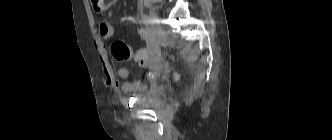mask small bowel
<instances>
[{
  "mask_svg": "<svg viewBox=\"0 0 332 140\" xmlns=\"http://www.w3.org/2000/svg\"><path fill=\"white\" fill-rule=\"evenodd\" d=\"M117 1V0H113ZM111 12V8L108 9V13ZM113 36L104 37L105 39H111ZM159 46L156 40L152 38L147 39V48L137 51V59L142 66H146L149 62L155 58L158 54ZM103 70L106 78V82L114 89L120 88L125 94L137 93L146 89V84L139 80L126 81L120 84L118 78L115 76L110 64L106 59H103ZM117 75L121 79H126L129 76V71L125 67L119 68ZM150 78H153V74H149Z\"/></svg>",
  "mask_w": 332,
  "mask_h": 140,
  "instance_id": "small-bowel-1",
  "label": "small bowel"
}]
</instances>
